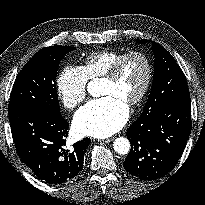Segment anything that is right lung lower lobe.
<instances>
[{"mask_svg":"<svg viewBox=\"0 0 205 205\" xmlns=\"http://www.w3.org/2000/svg\"><path fill=\"white\" fill-rule=\"evenodd\" d=\"M8 114L16 151L39 180L58 185L79 174L89 138L66 149L68 122L61 115L33 107L10 108Z\"/></svg>","mask_w":205,"mask_h":205,"instance_id":"1","label":"right lung lower lobe"}]
</instances>
